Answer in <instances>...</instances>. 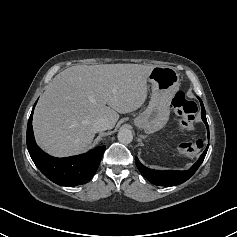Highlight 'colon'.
I'll use <instances>...</instances> for the list:
<instances>
[{
    "label": "colon",
    "instance_id": "1",
    "mask_svg": "<svg viewBox=\"0 0 237 237\" xmlns=\"http://www.w3.org/2000/svg\"><path fill=\"white\" fill-rule=\"evenodd\" d=\"M171 109L176 116H178V127L181 130H188L192 128L198 107L195 102L189 100L185 93L179 91L175 94L171 102ZM181 150L185 153L196 154L203 148L201 140H195L183 143Z\"/></svg>",
    "mask_w": 237,
    "mask_h": 237
}]
</instances>
